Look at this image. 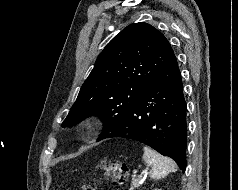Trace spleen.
<instances>
[{
    "label": "spleen",
    "instance_id": "spleen-1",
    "mask_svg": "<svg viewBox=\"0 0 238 190\" xmlns=\"http://www.w3.org/2000/svg\"><path fill=\"white\" fill-rule=\"evenodd\" d=\"M143 149V159L146 164L151 166L149 175L152 179H161L170 172L177 171V165L172 159L160 155L147 146H145Z\"/></svg>",
    "mask_w": 238,
    "mask_h": 190
}]
</instances>
